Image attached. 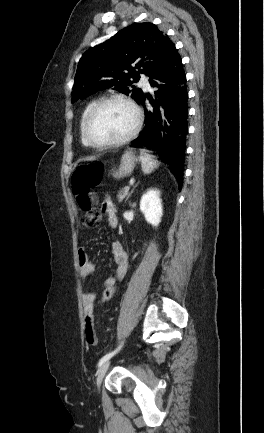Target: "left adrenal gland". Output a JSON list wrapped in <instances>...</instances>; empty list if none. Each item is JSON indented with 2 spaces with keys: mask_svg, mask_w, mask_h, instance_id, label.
Instances as JSON below:
<instances>
[{
  "mask_svg": "<svg viewBox=\"0 0 264 433\" xmlns=\"http://www.w3.org/2000/svg\"><path fill=\"white\" fill-rule=\"evenodd\" d=\"M138 185V184H137ZM137 185H135L132 189V191L129 193V195L127 196L126 200H128V198L131 196L132 192L134 191V189L137 187Z\"/></svg>",
  "mask_w": 264,
  "mask_h": 433,
  "instance_id": "obj_1",
  "label": "left adrenal gland"
}]
</instances>
